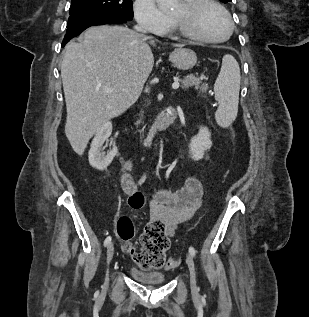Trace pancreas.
<instances>
[{"instance_id": "cf45deb5", "label": "pancreas", "mask_w": 309, "mask_h": 317, "mask_svg": "<svg viewBox=\"0 0 309 317\" xmlns=\"http://www.w3.org/2000/svg\"><path fill=\"white\" fill-rule=\"evenodd\" d=\"M204 77H196L194 75H188L186 77H184L183 79H180V82H181V87L183 89H188L189 87H195L196 89L199 88V85L201 83V80L203 79ZM140 121H137V124H139Z\"/></svg>"}]
</instances>
